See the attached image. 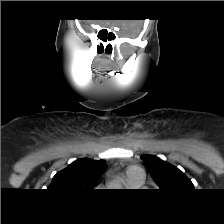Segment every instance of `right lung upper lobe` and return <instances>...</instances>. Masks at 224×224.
Listing matches in <instances>:
<instances>
[{"instance_id": "1", "label": "right lung upper lobe", "mask_w": 224, "mask_h": 224, "mask_svg": "<svg viewBox=\"0 0 224 224\" xmlns=\"http://www.w3.org/2000/svg\"><path fill=\"white\" fill-rule=\"evenodd\" d=\"M104 160L78 159L59 171L49 186L56 191L92 190L105 171Z\"/></svg>"}]
</instances>
